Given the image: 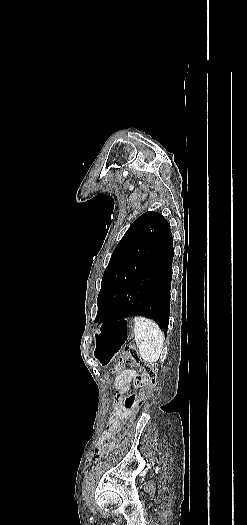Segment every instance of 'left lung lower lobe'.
Wrapping results in <instances>:
<instances>
[{
	"mask_svg": "<svg viewBox=\"0 0 247 525\" xmlns=\"http://www.w3.org/2000/svg\"><path fill=\"white\" fill-rule=\"evenodd\" d=\"M173 237L170 227L158 243L147 267L104 317L105 323L141 315L153 319L167 335L170 314Z\"/></svg>",
	"mask_w": 247,
	"mask_h": 525,
	"instance_id": "0a47b994",
	"label": "left lung lower lobe"
}]
</instances>
